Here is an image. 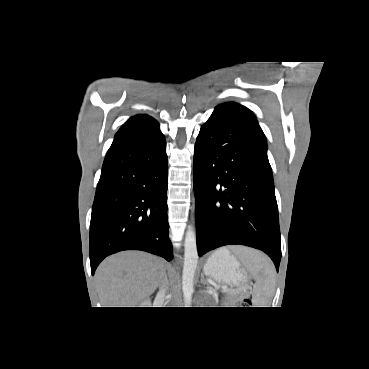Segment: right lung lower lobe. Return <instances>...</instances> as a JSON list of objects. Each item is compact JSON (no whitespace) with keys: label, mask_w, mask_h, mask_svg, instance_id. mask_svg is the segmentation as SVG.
Returning <instances> with one entry per match:
<instances>
[{"label":"right lung lower lobe","mask_w":369,"mask_h":369,"mask_svg":"<svg viewBox=\"0 0 369 369\" xmlns=\"http://www.w3.org/2000/svg\"><path fill=\"white\" fill-rule=\"evenodd\" d=\"M167 172L166 142L159 129L110 147L92 207V274L106 256L122 250L172 259Z\"/></svg>","instance_id":"1"}]
</instances>
